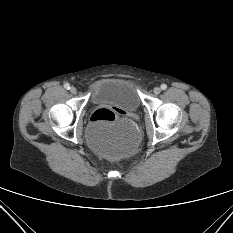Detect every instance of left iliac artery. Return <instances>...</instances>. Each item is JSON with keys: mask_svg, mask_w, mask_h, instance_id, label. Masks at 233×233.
Instances as JSON below:
<instances>
[{"mask_svg": "<svg viewBox=\"0 0 233 233\" xmlns=\"http://www.w3.org/2000/svg\"><path fill=\"white\" fill-rule=\"evenodd\" d=\"M160 87H161L162 90H166L167 85L166 84H162Z\"/></svg>", "mask_w": 233, "mask_h": 233, "instance_id": "left-iliac-artery-1", "label": "left iliac artery"}]
</instances>
